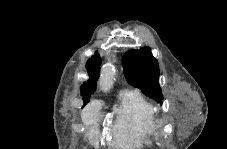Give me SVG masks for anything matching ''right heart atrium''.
<instances>
[{"mask_svg": "<svg viewBox=\"0 0 227 149\" xmlns=\"http://www.w3.org/2000/svg\"><path fill=\"white\" fill-rule=\"evenodd\" d=\"M84 122L88 127V134L91 137V139H95L97 135V126L99 122V105L97 103H94L90 105L85 113H84Z\"/></svg>", "mask_w": 227, "mask_h": 149, "instance_id": "d8ad5b80", "label": "right heart atrium"}]
</instances>
